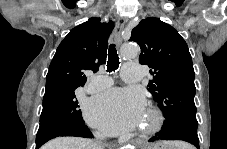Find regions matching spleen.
I'll use <instances>...</instances> for the list:
<instances>
[{
  "label": "spleen",
  "instance_id": "3e777b00",
  "mask_svg": "<svg viewBox=\"0 0 227 149\" xmlns=\"http://www.w3.org/2000/svg\"><path fill=\"white\" fill-rule=\"evenodd\" d=\"M171 145L175 146L177 149H189V146L183 142H173Z\"/></svg>",
  "mask_w": 227,
  "mask_h": 149
}]
</instances>
